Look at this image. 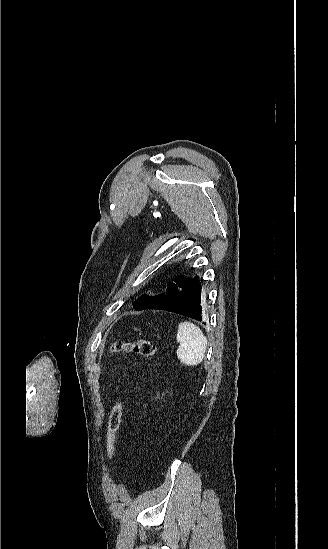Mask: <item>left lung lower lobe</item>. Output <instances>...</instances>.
Returning <instances> with one entry per match:
<instances>
[{"label": "left lung lower lobe", "mask_w": 328, "mask_h": 549, "mask_svg": "<svg viewBox=\"0 0 328 549\" xmlns=\"http://www.w3.org/2000/svg\"><path fill=\"white\" fill-rule=\"evenodd\" d=\"M177 295L174 298L160 300L156 303L145 305L140 310L155 309L178 313L187 317L203 321L201 306V287L198 277L183 278L178 283Z\"/></svg>", "instance_id": "obj_1"}]
</instances>
